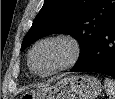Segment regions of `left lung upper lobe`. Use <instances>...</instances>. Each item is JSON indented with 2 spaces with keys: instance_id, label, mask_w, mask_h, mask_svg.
<instances>
[{
  "instance_id": "left-lung-upper-lobe-1",
  "label": "left lung upper lobe",
  "mask_w": 115,
  "mask_h": 99,
  "mask_svg": "<svg viewBox=\"0 0 115 99\" xmlns=\"http://www.w3.org/2000/svg\"><path fill=\"white\" fill-rule=\"evenodd\" d=\"M114 20V0H45L21 50L44 36L69 34L80 44L77 64L95 47Z\"/></svg>"
}]
</instances>
